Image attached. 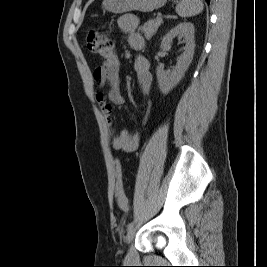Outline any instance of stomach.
I'll return each instance as SVG.
<instances>
[{"mask_svg": "<svg viewBox=\"0 0 267 267\" xmlns=\"http://www.w3.org/2000/svg\"><path fill=\"white\" fill-rule=\"evenodd\" d=\"M167 0H103L102 8L121 14L130 11L152 12L163 7Z\"/></svg>", "mask_w": 267, "mask_h": 267, "instance_id": "obj_1", "label": "stomach"}]
</instances>
